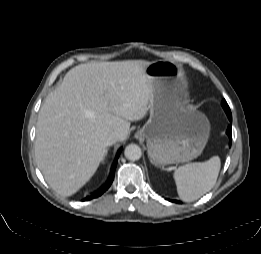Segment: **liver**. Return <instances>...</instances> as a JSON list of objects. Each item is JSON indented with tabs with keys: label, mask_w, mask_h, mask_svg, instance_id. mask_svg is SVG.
<instances>
[{
	"label": "liver",
	"mask_w": 261,
	"mask_h": 254,
	"mask_svg": "<svg viewBox=\"0 0 261 254\" xmlns=\"http://www.w3.org/2000/svg\"><path fill=\"white\" fill-rule=\"evenodd\" d=\"M151 62L126 60L75 66L46 97L38 114L35 158L59 195L76 193L94 175L107 152L105 138H127L130 121L149 110Z\"/></svg>",
	"instance_id": "6515ba94"
}]
</instances>
